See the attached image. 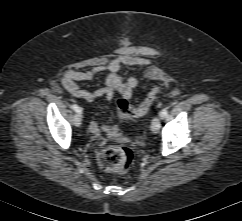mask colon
I'll return each mask as SVG.
<instances>
[{"label":"colon","instance_id":"colon-1","mask_svg":"<svg viewBox=\"0 0 242 221\" xmlns=\"http://www.w3.org/2000/svg\"><path fill=\"white\" fill-rule=\"evenodd\" d=\"M158 93L159 88H154L139 106H132L125 99L119 100L116 105L118 118L129 119L145 115L154 104ZM109 135L118 141V144L101 149L97 155L98 164L105 173L126 174L132 164V152L125 146L128 139L117 126L110 128Z\"/></svg>","mask_w":242,"mask_h":221}]
</instances>
